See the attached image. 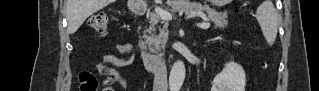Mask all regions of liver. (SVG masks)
Here are the masks:
<instances>
[{
    "label": "liver",
    "mask_w": 319,
    "mask_h": 91,
    "mask_svg": "<svg viewBox=\"0 0 319 91\" xmlns=\"http://www.w3.org/2000/svg\"><path fill=\"white\" fill-rule=\"evenodd\" d=\"M114 0H67L68 29L74 33L83 22Z\"/></svg>",
    "instance_id": "obj_1"
}]
</instances>
